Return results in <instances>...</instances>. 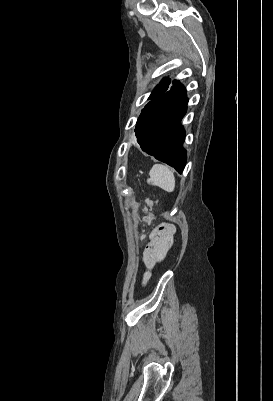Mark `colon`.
<instances>
[{
    "mask_svg": "<svg viewBox=\"0 0 273 401\" xmlns=\"http://www.w3.org/2000/svg\"><path fill=\"white\" fill-rule=\"evenodd\" d=\"M171 229V226L167 225V224H160L159 226L156 227L153 237L157 238L162 236L163 234V238L165 241H172L174 238V235L172 232H169V230Z\"/></svg>",
    "mask_w": 273,
    "mask_h": 401,
    "instance_id": "colon-1",
    "label": "colon"
}]
</instances>
